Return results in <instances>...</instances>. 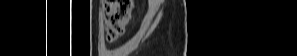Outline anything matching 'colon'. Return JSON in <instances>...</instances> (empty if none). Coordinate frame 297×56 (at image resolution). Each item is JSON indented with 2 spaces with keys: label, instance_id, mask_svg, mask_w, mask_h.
<instances>
[{
  "label": "colon",
  "instance_id": "colon-1",
  "mask_svg": "<svg viewBox=\"0 0 297 56\" xmlns=\"http://www.w3.org/2000/svg\"><path fill=\"white\" fill-rule=\"evenodd\" d=\"M135 10L133 0H110L104 5L106 36L114 42L125 33Z\"/></svg>",
  "mask_w": 297,
  "mask_h": 56
}]
</instances>
